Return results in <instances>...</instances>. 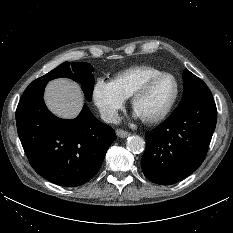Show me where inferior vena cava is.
I'll return each instance as SVG.
<instances>
[{
    "instance_id": "602c4592",
    "label": "inferior vena cava",
    "mask_w": 233,
    "mask_h": 233,
    "mask_svg": "<svg viewBox=\"0 0 233 233\" xmlns=\"http://www.w3.org/2000/svg\"><path fill=\"white\" fill-rule=\"evenodd\" d=\"M100 114L101 119L106 123L118 124L120 122L119 116L113 112L102 110Z\"/></svg>"
}]
</instances>
